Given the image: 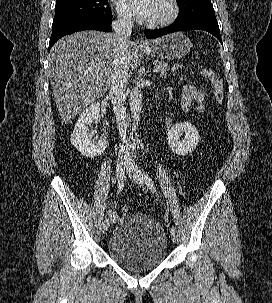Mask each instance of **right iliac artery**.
<instances>
[{
    "instance_id": "right-iliac-artery-1",
    "label": "right iliac artery",
    "mask_w": 272,
    "mask_h": 303,
    "mask_svg": "<svg viewBox=\"0 0 272 303\" xmlns=\"http://www.w3.org/2000/svg\"><path fill=\"white\" fill-rule=\"evenodd\" d=\"M123 187H124L123 177H120V178L118 179V190H117V194H120V193L122 192ZM103 220H104V222L108 221V217L105 215V216L103 217Z\"/></svg>"
}]
</instances>
